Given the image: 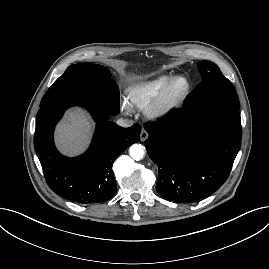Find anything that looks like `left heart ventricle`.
Masks as SVG:
<instances>
[{
	"mask_svg": "<svg viewBox=\"0 0 269 269\" xmlns=\"http://www.w3.org/2000/svg\"><path fill=\"white\" fill-rule=\"evenodd\" d=\"M184 87V83L182 81H179L175 86H174V89H173V93L174 94H178L179 92L182 91Z\"/></svg>",
	"mask_w": 269,
	"mask_h": 269,
	"instance_id": "1",
	"label": "left heart ventricle"
}]
</instances>
